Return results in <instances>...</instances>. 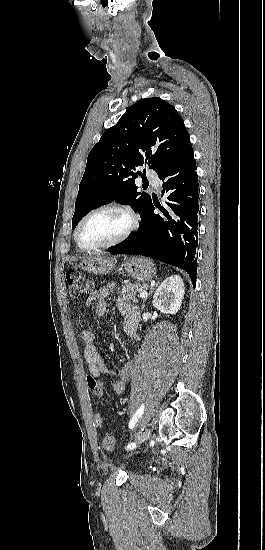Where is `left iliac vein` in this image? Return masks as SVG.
<instances>
[{
	"instance_id": "obj_1",
	"label": "left iliac vein",
	"mask_w": 265,
	"mask_h": 550,
	"mask_svg": "<svg viewBox=\"0 0 265 550\" xmlns=\"http://www.w3.org/2000/svg\"><path fill=\"white\" fill-rule=\"evenodd\" d=\"M150 430L149 429H145L143 432H141V434L138 436V440H137V444H140L142 443L143 441L145 440H148L150 438Z\"/></svg>"
}]
</instances>
